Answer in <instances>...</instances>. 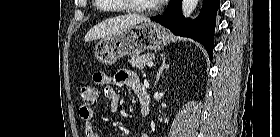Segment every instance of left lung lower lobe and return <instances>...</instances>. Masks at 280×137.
Here are the masks:
<instances>
[{"label": "left lung lower lobe", "mask_w": 280, "mask_h": 137, "mask_svg": "<svg viewBox=\"0 0 280 137\" xmlns=\"http://www.w3.org/2000/svg\"><path fill=\"white\" fill-rule=\"evenodd\" d=\"M181 5L182 0H170L166 12L151 19L170 29L175 35L190 37L200 42L212 59L216 13L220 7V0H204L199 16L193 21L184 18Z\"/></svg>", "instance_id": "1"}]
</instances>
